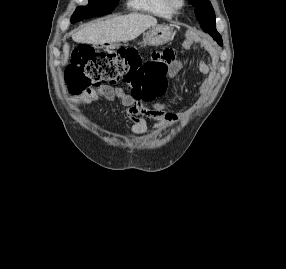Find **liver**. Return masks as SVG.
Returning a JSON list of instances; mask_svg holds the SVG:
<instances>
[{
    "label": "liver",
    "mask_w": 286,
    "mask_h": 269,
    "mask_svg": "<svg viewBox=\"0 0 286 269\" xmlns=\"http://www.w3.org/2000/svg\"><path fill=\"white\" fill-rule=\"evenodd\" d=\"M157 25L155 17L139 13L119 16L106 21H97L85 26L72 34V39L78 43L100 44L128 41L136 38L150 27ZM64 62L69 57V45L63 46Z\"/></svg>",
    "instance_id": "obj_1"
}]
</instances>
